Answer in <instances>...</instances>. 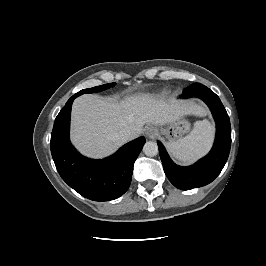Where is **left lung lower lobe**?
Returning a JSON list of instances; mask_svg holds the SVG:
<instances>
[{
	"mask_svg": "<svg viewBox=\"0 0 266 266\" xmlns=\"http://www.w3.org/2000/svg\"><path fill=\"white\" fill-rule=\"evenodd\" d=\"M201 98L210 108L216 121V138L212 150L192 166L180 167L157 142L163 168L170 182L182 190H190L212 182L223 169L231 147V126L228 114L219 97L206 86L195 83L186 88L180 98Z\"/></svg>",
	"mask_w": 266,
	"mask_h": 266,
	"instance_id": "0a47b994",
	"label": "left lung lower lobe"
}]
</instances>
